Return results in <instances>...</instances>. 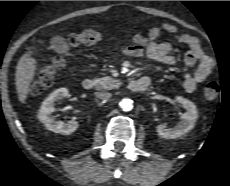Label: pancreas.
Returning a JSON list of instances; mask_svg holds the SVG:
<instances>
[{
	"label": "pancreas",
	"instance_id": "1",
	"mask_svg": "<svg viewBox=\"0 0 230 186\" xmlns=\"http://www.w3.org/2000/svg\"><path fill=\"white\" fill-rule=\"evenodd\" d=\"M96 89L97 90H110L117 88L121 85V81L118 79H113L111 77H102L96 79Z\"/></svg>",
	"mask_w": 230,
	"mask_h": 186
}]
</instances>
